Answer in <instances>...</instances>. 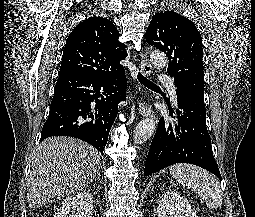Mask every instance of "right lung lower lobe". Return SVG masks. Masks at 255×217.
Masks as SVG:
<instances>
[{
  "label": "right lung lower lobe",
  "mask_w": 255,
  "mask_h": 217,
  "mask_svg": "<svg viewBox=\"0 0 255 217\" xmlns=\"http://www.w3.org/2000/svg\"><path fill=\"white\" fill-rule=\"evenodd\" d=\"M125 98V72L107 77L58 78L41 141L52 136H71L103 154L118 114V102Z\"/></svg>",
  "instance_id": "98d812e1"
}]
</instances>
